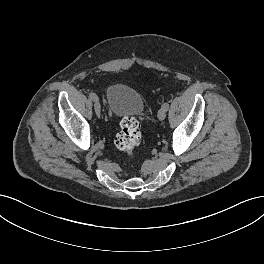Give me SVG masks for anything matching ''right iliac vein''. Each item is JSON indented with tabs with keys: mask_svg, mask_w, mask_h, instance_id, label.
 Segmentation results:
<instances>
[{
	"mask_svg": "<svg viewBox=\"0 0 264 264\" xmlns=\"http://www.w3.org/2000/svg\"><path fill=\"white\" fill-rule=\"evenodd\" d=\"M94 110H95V113L98 117H100L101 115V106H100V103L98 100H95L94 101Z\"/></svg>",
	"mask_w": 264,
	"mask_h": 264,
	"instance_id": "63e3f726",
	"label": "right iliac vein"
}]
</instances>
